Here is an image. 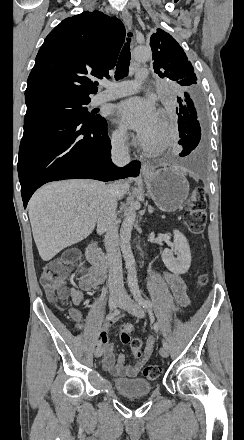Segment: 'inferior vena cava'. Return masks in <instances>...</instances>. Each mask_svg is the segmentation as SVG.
I'll use <instances>...</instances> for the list:
<instances>
[{
  "label": "inferior vena cava",
  "instance_id": "inferior-vena-cava-1",
  "mask_svg": "<svg viewBox=\"0 0 244 440\" xmlns=\"http://www.w3.org/2000/svg\"><path fill=\"white\" fill-rule=\"evenodd\" d=\"M112 162L116 166H126L130 162L129 148L125 146L124 136H119L112 144ZM97 228L105 232V248L109 266L110 294H124L122 258L119 248V234L116 224L117 184H109L104 190Z\"/></svg>",
  "mask_w": 244,
  "mask_h": 440
}]
</instances>
